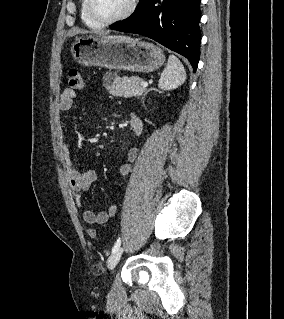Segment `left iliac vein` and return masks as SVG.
<instances>
[{
    "label": "left iliac vein",
    "mask_w": 284,
    "mask_h": 319,
    "mask_svg": "<svg viewBox=\"0 0 284 319\" xmlns=\"http://www.w3.org/2000/svg\"><path fill=\"white\" fill-rule=\"evenodd\" d=\"M122 253H123V248H119L117 251H115L114 253L111 254V256L108 259V263H107L109 270H112L115 268V266L118 264V262L122 256Z\"/></svg>",
    "instance_id": "obj_1"
}]
</instances>
